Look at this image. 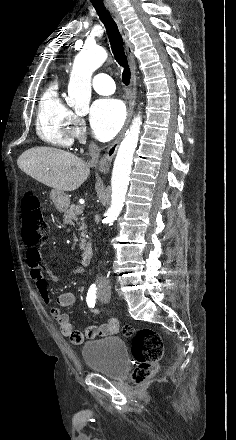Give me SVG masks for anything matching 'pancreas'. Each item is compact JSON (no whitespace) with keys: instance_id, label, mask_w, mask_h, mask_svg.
Masks as SVG:
<instances>
[{"instance_id":"cf45deb5","label":"pancreas","mask_w":236,"mask_h":440,"mask_svg":"<svg viewBox=\"0 0 236 440\" xmlns=\"http://www.w3.org/2000/svg\"><path fill=\"white\" fill-rule=\"evenodd\" d=\"M79 207V205H72L67 211H65L64 213V223L65 224H73V221H77L78 220V215L80 213L77 212V208ZM86 225L84 223H82V225L80 226V230H82L81 232V239H80V244L79 247L81 250H83L85 248L86 245V240H85V236H86Z\"/></svg>"}]
</instances>
